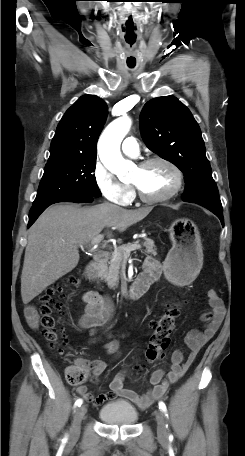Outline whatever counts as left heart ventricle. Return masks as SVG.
<instances>
[{
    "mask_svg": "<svg viewBox=\"0 0 245 456\" xmlns=\"http://www.w3.org/2000/svg\"><path fill=\"white\" fill-rule=\"evenodd\" d=\"M131 182L148 196H161L169 192L175 184L173 171L162 163H154L145 168H135Z\"/></svg>",
    "mask_w": 245,
    "mask_h": 456,
    "instance_id": "1",
    "label": "left heart ventricle"
}]
</instances>
